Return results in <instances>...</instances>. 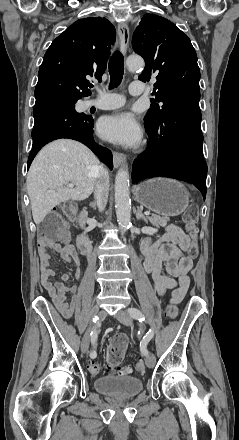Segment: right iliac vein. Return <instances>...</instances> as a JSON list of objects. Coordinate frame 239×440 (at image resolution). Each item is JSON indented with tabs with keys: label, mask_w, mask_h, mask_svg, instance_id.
<instances>
[{
	"label": "right iliac vein",
	"mask_w": 239,
	"mask_h": 440,
	"mask_svg": "<svg viewBox=\"0 0 239 440\" xmlns=\"http://www.w3.org/2000/svg\"><path fill=\"white\" fill-rule=\"evenodd\" d=\"M98 316H99V319H101V320L104 319L106 317V311L105 310H101L98 313ZM90 331H91V326L88 328V330L85 333V335L83 336V339H82V342H81V350H82L83 353H86L88 351V348H89Z\"/></svg>",
	"instance_id": "obj_1"
}]
</instances>
